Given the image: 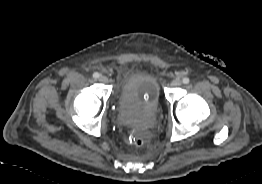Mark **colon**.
<instances>
[{
  "mask_svg": "<svg viewBox=\"0 0 262 184\" xmlns=\"http://www.w3.org/2000/svg\"><path fill=\"white\" fill-rule=\"evenodd\" d=\"M130 142L136 146V147H141L145 144V140L143 137L139 136V135H135L133 137L130 138Z\"/></svg>",
  "mask_w": 262,
  "mask_h": 184,
  "instance_id": "5ec220e1",
  "label": "colon"
}]
</instances>
